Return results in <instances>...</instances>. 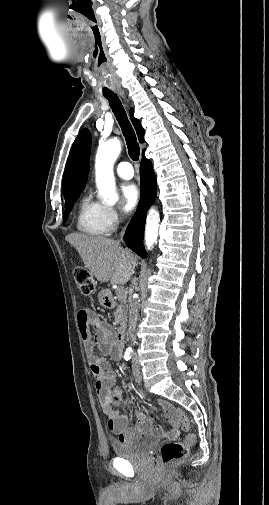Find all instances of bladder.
Masks as SVG:
<instances>
[{
    "label": "bladder",
    "mask_w": 269,
    "mask_h": 505,
    "mask_svg": "<svg viewBox=\"0 0 269 505\" xmlns=\"http://www.w3.org/2000/svg\"><path fill=\"white\" fill-rule=\"evenodd\" d=\"M157 442L153 436L147 435L133 443L119 441L112 442V449L116 457L124 459H141Z\"/></svg>",
    "instance_id": "obj_1"
}]
</instances>
